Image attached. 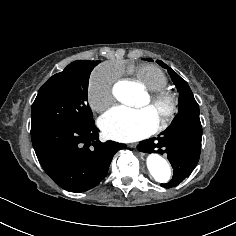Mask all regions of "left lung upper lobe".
<instances>
[{"mask_svg":"<svg viewBox=\"0 0 236 236\" xmlns=\"http://www.w3.org/2000/svg\"><path fill=\"white\" fill-rule=\"evenodd\" d=\"M145 60L153 61L152 59L148 58H146ZM157 63L162 67L168 69V73L170 74L174 84L179 91V111L172 121L171 125L180 124L201 127L199 118V106L187 82L162 61L157 60Z\"/></svg>","mask_w":236,"mask_h":236,"instance_id":"1","label":"left lung upper lobe"}]
</instances>
